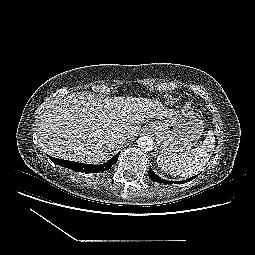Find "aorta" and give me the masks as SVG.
<instances>
[{
  "instance_id": "aorta-1",
  "label": "aorta",
  "mask_w": 255,
  "mask_h": 255,
  "mask_svg": "<svg viewBox=\"0 0 255 255\" xmlns=\"http://www.w3.org/2000/svg\"><path fill=\"white\" fill-rule=\"evenodd\" d=\"M138 147L145 152L151 151L154 147V141L152 138L142 136L137 141Z\"/></svg>"
}]
</instances>
